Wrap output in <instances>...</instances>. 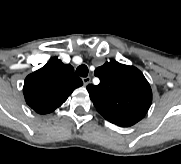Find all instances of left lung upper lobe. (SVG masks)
Instances as JSON below:
<instances>
[{
    "mask_svg": "<svg viewBox=\"0 0 181 164\" xmlns=\"http://www.w3.org/2000/svg\"><path fill=\"white\" fill-rule=\"evenodd\" d=\"M99 85L87 86L97 111L109 122L129 127L140 121L152 103V90L143 73L115 60L98 67Z\"/></svg>",
    "mask_w": 181,
    "mask_h": 164,
    "instance_id": "1",
    "label": "left lung upper lobe"
}]
</instances>
